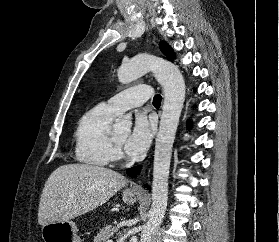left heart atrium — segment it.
<instances>
[{
	"label": "left heart atrium",
	"instance_id": "obj_1",
	"mask_svg": "<svg viewBox=\"0 0 279 242\" xmlns=\"http://www.w3.org/2000/svg\"><path fill=\"white\" fill-rule=\"evenodd\" d=\"M152 136L153 124L145 114H138L125 142L126 151L131 155L144 153L151 143Z\"/></svg>",
	"mask_w": 279,
	"mask_h": 242
}]
</instances>
